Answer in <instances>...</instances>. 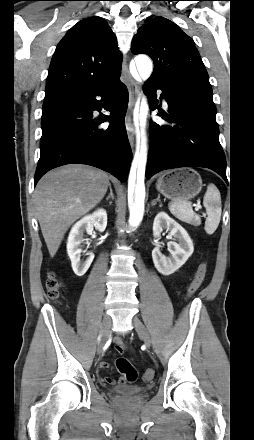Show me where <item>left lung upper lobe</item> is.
<instances>
[{"label":"left lung upper lobe","instance_id":"5c2ea615","mask_svg":"<svg viewBox=\"0 0 254 440\" xmlns=\"http://www.w3.org/2000/svg\"><path fill=\"white\" fill-rule=\"evenodd\" d=\"M135 54H147L154 61L149 78L177 98H192L216 108L208 73L194 41L175 23L161 16L147 18L131 44Z\"/></svg>","mask_w":254,"mask_h":440}]
</instances>
